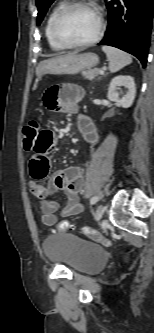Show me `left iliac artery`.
<instances>
[{
  "label": "left iliac artery",
  "mask_w": 154,
  "mask_h": 333,
  "mask_svg": "<svg viewBox=\"0 0 154 333\" xmlns=\"http://www.w3.org/2000/svg\"><path fill=\"white\" fill-rule=\"evenodd\" d=\"M97 201H98V196L92 197L91 200H90V205L95 204Z\"/></svg>",
  "instance_id": "44dca946"
}]
</instances>
